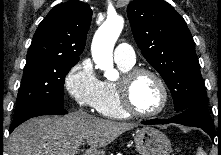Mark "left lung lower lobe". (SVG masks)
<instances>
[{
	"label": "left lung lower lobe",
	"mask_w": 221,
	"mask_h": 155,
	"mask_svg": "<svg viewBox=\"0 0 221 155\" xmlns=\"http://www.w3.org/2000/svg\"><path fill=\"white\" fill-rule=\"evenodd\" d=\"M142 123L147 125L178 123L185 126H194L203 129L214 141V122L208 113L207 104L192 106L171 119H152Z\"/></svg>",
	"instance_id": "0a47b994"
}]
</instances>
